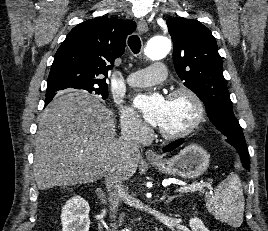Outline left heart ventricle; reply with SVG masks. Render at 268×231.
Instances as JSON below:
<instances>
[{
  "label": "left heart ventricle",
  "instance_id": "obj_1",
  "mask_svg": "<svg viewBox=\"0 0 268 231\" xmlns=\"http://www.w3.org/2000/svg\"><path fill=\"white\" fill-rule=\"evenodd\" d=\"M194 117V105L186 97L166 100V107L159 127L167 132H176L185 128Z\"/></svg>",
  "mask_w": 268,
  "mask_h": 231
}]
</instances>
